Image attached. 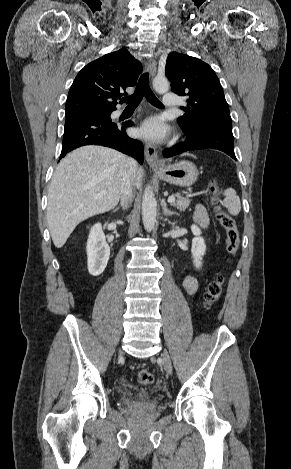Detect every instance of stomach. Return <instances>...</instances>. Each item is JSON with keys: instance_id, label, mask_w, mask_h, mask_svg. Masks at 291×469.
I'll return each mask as SVG.
<instances>
[{"instance_id": "1", "label": "stomach", "mask_w": 291, "mask_h": 469, "mask_svg": "<svg viewBox=\"0 0 291 469\" xmlns=\"http://www.w3.org/2000/svg\"><path fill=\"white\" fill-rule=\"evenodd\" d=\"M155 172L162 180L182 187L194 184L199 175L196 166L188 160L166 165L162 169L155 170Z\"/></svg>"}]
</instances>
